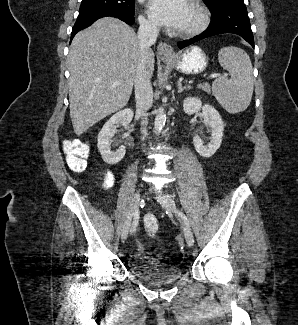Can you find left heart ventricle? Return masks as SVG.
Returning <instances> with one entry per match:
<instances>
[{
  "instance_id": "obj_1",
  "label": "left heart ventricle",
  "mask_w": 298,
  "mask_h": 325,
  "mask_svg": "<svg viewBox=\"0 0 298 325\" xmlns=\"http://www.w3.org/2000/svg\"><path fill=\"white\" fill-rule=\"evenodd\" d=\"M196 22V15L188 3L184 4V11L182 21L179 27L173 29L175 32L185 31L194 26Z\"/></svg>"
}]
</instances>
